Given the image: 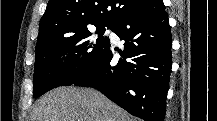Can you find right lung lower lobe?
<instances>
[{
  "label": "right lung lower lobe",
  "instance_id": "right-lung-lower-lobe-1",
  "mask_svg": "<svg viewBox=\"0 0 217 121\" xmlns=\"http://www.w3.org/2000/svg\"><path fill=\"white\" fill-rule=\"evenodd\" d=\"M113 32L125 40L111 45L72 85L93 87L145 121H163L172 67V36L162 0L145 2L121 18ZM118 50L122 58H114Z\"/></svg>",
  "mask_w": 217,
  "mask_h": 121
}]
</instances>
